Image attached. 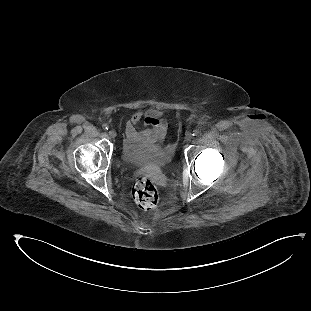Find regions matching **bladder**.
I'll list each match as a JSON object with an SVG mask.
<instances>
[{
    "instance_id": "bladder-1",
    "label": "bladder",
    "mask_w": 311,
    "mask_h": 311,
    "mask_svg": "<svg viewBox=\"0 0 311 311\" xmlns=\"http://www.w3.org/2000/svg\"><path fill=\"white\" fill-rule=\"evenodd\" d=\"M121 158L131 165H136L137 170L141 172H155L161 167L168 166L172 161V156L164 150L153 151L144 154H138L127 148H121Z\"/></svg>"
}]
</instances>
